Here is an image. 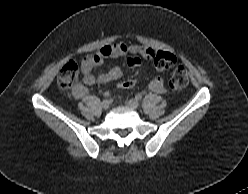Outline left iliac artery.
I'll return each instance as SVG.
<instances>
[{
    "mask_svg": "<svg viewBox=\"0 0 248 194\" xmlns=\"http://www.w3.org/2000/svg\"><path fill=\"white\" fill-rule=\"evenodd\" d=\"M135 98L137 100H141L142 99V95L140 93H138V94L135 95Z\"/></svg>",
    "mask_w": 248,
    "mask_h": 194,
    "instance_id": "left-iliac-artery-1",
    "label": "left iliac artery"
}]
</instances>
